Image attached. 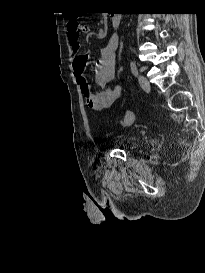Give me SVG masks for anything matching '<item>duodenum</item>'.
Wrapping results in <instances>:
<instances>
[{"mask_svg":"<svg viewBox=\"0 0 205 273\" xmlns=\"http://www.w3.org/2000/svg\"><path fill=\"white\" fill-rule=\"evenodd\" d=\"M111 21L114 26H118L120 23V16L118 14H114L111 18Z\"/></svg>","mask_w":205,"mask_h":273,"instance_id":"obj_1","label":"duodenum"}]
</instances>
